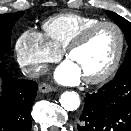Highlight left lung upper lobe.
<instances>
[{
    "instance_id": "5c2ea615",
    "label": "left lung upper lobe",
    "mask_w": 131,
    "mask_h": 131,
    "mask_svg": "<svg viewBox=\"0 0 131 131\" xmlns=\"http://www.w3.org/2000/svg\"><path fill=\"white\" fill-rule=\"evenodd\" d=\"M106 13L123 31L127 40V44L129 46L127 49L125 60L121 67L118 69L114 78L129 76L131 75V23L114 12L106 11Z\"/></svg>"
}]
</instances>
